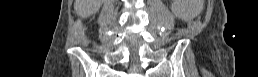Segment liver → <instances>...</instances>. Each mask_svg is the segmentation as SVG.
I'll return each instance as SVG.
<instances>
[{
    "label": "liver",
    "mask_w": 258,
    "mask_h": 77,
    "mask_svg": "<svg viewBox=\"0 0 258 77\" xmlns=\"http://www.w3.org/2000/svg\"><path fill=\"white\" fill-rule=\"evenodd\" d=\"M91 0H75L74 8L79 15H88Z\"/></svg>",
    "instance_id": "1"
}]
</instances>
